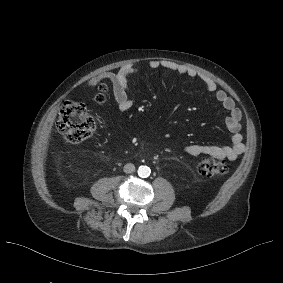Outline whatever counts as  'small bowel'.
<instances>
[{
  "label": "small bowel",
  "mask_w": 283,
  "mask_h": 283,
  "mask_svg": "<svg viewBox=\"0 0 283 283\" xmlns=\"http://www.w3.org/2000/svg\"><path fill=\"white\" fill-rule=\"evenodd\" d=\"M151 69L164 68L190 78H199L208 92L212 93L216 101L227 111L225 124L231 132L229 145H197L185 146L183 151L190 156L209 155L216 159L235 160L245 150L243 136L241 134V111L235 101L223 90L217 88L216 82L205 74L198 73L195 69L168 60H152L149 62ZM139 69L134 64L122 66L114 73H108L90 80L88 88L96 86L101 80L108 79L113 88V94L121 111H128L133 106L134 100L128 86V78L137 74Z\"/></svg>",
  "instance_id": "1"
}]
</instances>
